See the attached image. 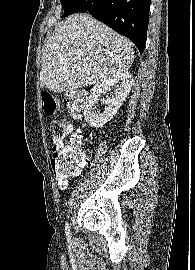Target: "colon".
Here are the masks:
<instances>
[{
	"instance_id": "obj_1",
	"label": "colon",
	"mask_w": 195,
	"mask_h": 270,
	"mask_svg": "<svg viewBox=\"0 0 195 270\" xmlns=\"http://www.w3.org/2000/svg\"><path fill=\"white\" fill-rule=\"evenodd\" d=\"M87 95L82 90H71L64 94V103L74 118H80L85 110ZM43 111L48 116L60 112L58 99L49 92L42 93ZM68 122L64 118H55L51 122V130L55 137L67 135ZM85 162V153L80 145V137L73 135L62 145L53 149L52 168L60 188H65L72 176L80 171Z\"/></svg>"
}]
</instances>
